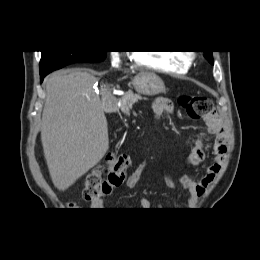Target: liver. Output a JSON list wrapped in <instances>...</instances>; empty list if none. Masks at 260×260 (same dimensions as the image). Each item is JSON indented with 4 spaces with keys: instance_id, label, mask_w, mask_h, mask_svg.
I'll list each match as a JSON object with an SVG mask.
<instances>
[{
    "instance_id": "liver-1",
    "label": "liver",
    "mask_w": 260,
    "mask_h": 260,
    "mask_svg": "<svg viewBox=\"0 0 260 260\" xmlns=\"http://www.w3.org/2000/svg\"><path fill=\"white\" fill-rule=\"evenodd\" d=\"M87 71H55L45 79L41 142L54 186L65 191L93 168L109 148L104 102L111 96Z\"/></svg>"
}]
</instances>
